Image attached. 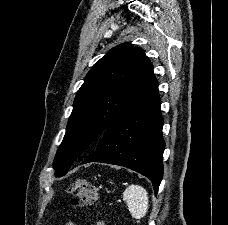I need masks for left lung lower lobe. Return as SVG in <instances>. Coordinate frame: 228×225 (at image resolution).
<instances>
[{
	"instance_id": "1",
	"label": "left lung lower lobe",
	"mask_w": 228,
	"mask_h": 225,
	"mask_svg": "<svg viewBox=\"0 0 228 225\" xmlns=\"http://www.w3.org/2000/svg\"><path fill=\"white\" fill-rule=\"evenodd\" d=\"M158 82L104 132L94 153L82 164L101 162L130 168L152 182L155 194L163 177V117Z\"/></svg>"
}]
</instances>
